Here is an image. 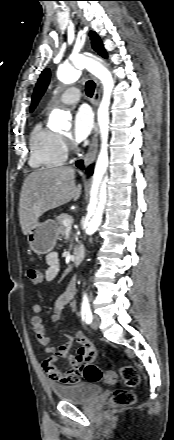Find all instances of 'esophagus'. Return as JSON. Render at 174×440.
<instances>
[{
	"instance_id": "1",
	"label": "esophagus",
	"mask_w": 174,
	"mask_h": 440,
	"mask_svg": "<svg viewBox=\"0 0 174 440\" xmlns=\"http://www.w3.org/2000/svg\"><path fill=\"white\" fill-rule=\"evenodd\" d=\"M95 82H96V87L94 92L93 108H94V113L96 115L97 107L99 105V100L101 95V87H100V82L97 79L95 80ZM98 140H99V129H98V124L95 121L92 140L89 149L84 157L85 166H89L94 161L98 151Z\"/></svg>"
}]
</instances>
